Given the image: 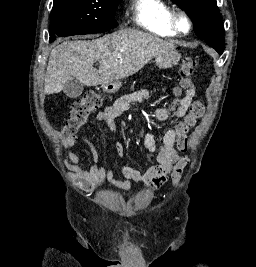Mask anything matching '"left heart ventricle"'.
I'll list each match as a JSON object with an SVG mask.
<instances>
[{"label":"left heart ventricle","mask_w":256,"mask_h":267,"mask_svg":"<svg viewBox=\"0 0 256 267\" xmlns=\"http://www.w3.org/2000/svg\"><path fill=\"white\" fill-rule=\"evenodd\" d=\"M180 24H181V26H182L183 28H185L186 25H185V21H184L183 19L180 20Z\"/></svg>","instance_id":"left-heart-ventricle-1"}]
</instances>
